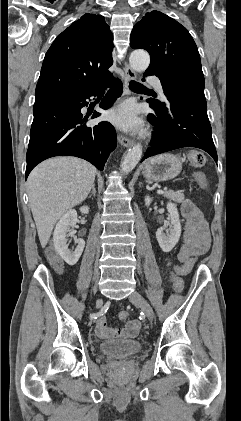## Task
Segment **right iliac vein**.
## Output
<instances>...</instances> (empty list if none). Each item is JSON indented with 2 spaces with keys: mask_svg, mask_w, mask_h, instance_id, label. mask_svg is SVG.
<instances>
[{
  "mask_svg": "<svg viewBox=\"0 0 241 421\" xmlns=\"http://www.w3.org/2000/svg\"><path fill=\"white\" fill-rule=\"evenodd\" d=\"M98 303H102V300H98Z\"/></svg>",
  "mask_w": 241,
  "mask_h": 421,
  "instance_id": "63e3f726",
  "label": "right iliac vein"
}]
</instances>
